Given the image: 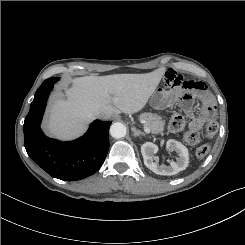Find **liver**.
<instances>
[{"label":"liver","instance_id":"liver-1","mask_svg":"<svg viewBox=\"0 0 245 245\" xmlns=\"http://www.w3.org/2000/svg\"><path fill=\"white\" fill-rule=\"evenodd\" d=\"M164 73L165 69L159 68L146 74L75 78L72 86L65 89L66 99L53 100L47 130L60 139H71L82 134L98 114L109 119L120 113H137L144 108Z\"/></svg>","mask_w":245,"mask_h":245}]
</instances>
